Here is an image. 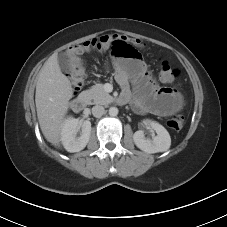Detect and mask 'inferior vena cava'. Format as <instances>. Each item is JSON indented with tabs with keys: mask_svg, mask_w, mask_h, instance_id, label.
<instances>
[{
	"mask_svg": "<svg viewBox=\"0 0 227 227\" xmlns=\"http://www.w3.org/2000/svg\"><path fill=\"white\" fill-rule=\"evenodd\" d=\"M92 114L95 117H101L102 115L105 114V109L103 106L96 105L92 108Z\"/></svg>",
	"mask_w": 227,
	"mask_h": 227,
	"instance_id": "obj_1",
	"label": "inferior vena cava"
}]
</instances>
